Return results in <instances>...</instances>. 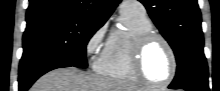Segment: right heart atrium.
Masks as SVG:
<instances>
[{
    "label": "right heart atrium",
    "instance_id": "right-heart-atrium-1",
    "mask_svg": "<svg viewBox=\"0 0 220 91\" xmlns=\"http://www.w3.org/2000/svg\"><path fill=\"white\" fill-rule=\"evenodd\" d=\"M105 32L106 27L100 26L89 36L85 44V52L88 57H93V55L98 51L103 42Z\"/></svg>",
    "mask_w": 220,
    "mask_h": 91
}]
</instances>
